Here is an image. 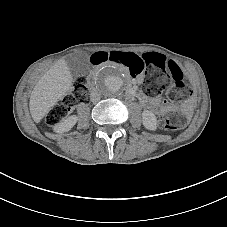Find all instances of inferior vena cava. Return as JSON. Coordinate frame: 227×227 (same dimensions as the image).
<instances>
[{
	"label": "inferior vena cava",
	"mask_w": 227,
	"mask_h": 227,
	"mask_svg": "<svg viewBox=\"0 0 227 227\" xmlns=\"http://www.w3.org/2000/svg\"><path fill=\"white\" fill-rule=\"evenodd\" d=\"M90 99H91L92 102H97V101H99L100 96H99V93H98L97 89L92 88V89L90 90Z\"/></svg>",
	"instance_id": "1"
}]
</instances>
